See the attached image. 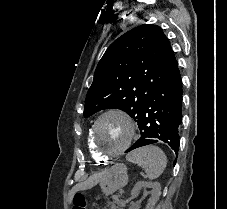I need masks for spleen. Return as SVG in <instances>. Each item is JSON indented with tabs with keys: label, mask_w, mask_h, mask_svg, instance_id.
I'll use <instances>...</instances> for the list:
<instances>
[{
	"label": "spleen",
	"mask_w": 227,
	"mask_h": 209,
	"mask_svg": "<svg viewBox=\"0 0 227 209\" xmlns=\"http://www.w3.org/2000/svg\"><path fill=\"white\" fill-rule=\"evenodd\" d=\"M126 161L144 169L148 179H158L167 165V157L159 147L147 145L126 155Z\"/></svg>",
	"instance_id": "spleen-1"
}]
</instances>
